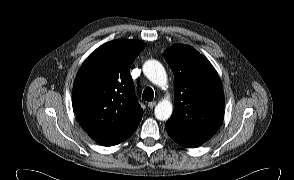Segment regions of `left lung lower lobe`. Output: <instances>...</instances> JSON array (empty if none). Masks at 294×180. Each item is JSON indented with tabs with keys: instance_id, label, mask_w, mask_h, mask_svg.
Here are the masks:
<instances>
[{
	"instance_id": "1",
	"label": "left lung lower lobe",
	"mask_w": 294,
	"mask_h": 180,
	"mask_svg": "<svg viewBox=\"0 0 294 180\" xmlns=\"http://www.w3.org/2000/svg\"><path fill=\"white\" fill-rule=\"evenodd\" d=\"M165 128L168 135L176 143L188 148H196L202 145L216 133V131H188L181 129L170 122L165 124Z\"/></svg>"
}]
</instances>
